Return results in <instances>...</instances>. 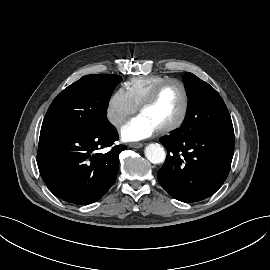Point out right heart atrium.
<instances>
[{
	"mask_svg": "<svg viewBox=\"0 0 270 270\" xmlns=\"http://www.w3.org/2000/svg\"><path fill=\"white\" fill-rule=\"evenodd\" d=\"M136 111L137 107L130 100L125 90L117 89L108 98L106 119L113 127L118 129Z\"/></svg>",
	"mask_w": 270,
	"mask_h": 270,
	"instance_id": "d8ad5b80",
	"label": "right heart atrium"
}]
</instances>
